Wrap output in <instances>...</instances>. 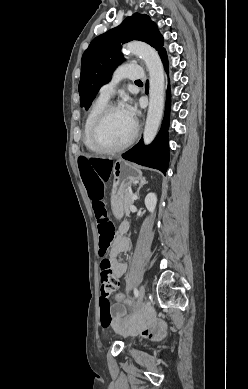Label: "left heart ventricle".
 I'll return each instance as SVG.
<instances>
[{
    "mask_svg": "<svg viewBox=\"0 0 248 389\" xmlns=\"http://www.w3.org/2000/svg\"><path fill=\"white\" fill-rule=\"evenodd\" d=\"M134 122L126 115L122 108L113 110L103 124L99 137L109 146L125 142L132 134Z\"/></svg>",
    "mask_w": 248,
    "mask_h": 389,
    "instance_id": "left-heart-ventricle-1",
    "label": "left heart ventricle"
}]
</instances>
